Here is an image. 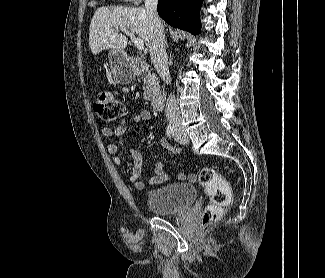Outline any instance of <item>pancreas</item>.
I'll list each match as a JSON object with an SVG mask.
<instances>
[{"mask_svg":"<svg viewBox=\"0 0 325 278\" xmlns=\"http://www.w3.org/2000/svg\"><path fill=\"white\" fill-rule=\"evenodd\" d=\"M144 81V99L150 100L156 95L160 94L159 82L154 74L147 72V74L143 77Z\"/></svg>","mask_w":325,"mask_h":278,"instance_id":"1","label":"pancreas"}]
</instances>
